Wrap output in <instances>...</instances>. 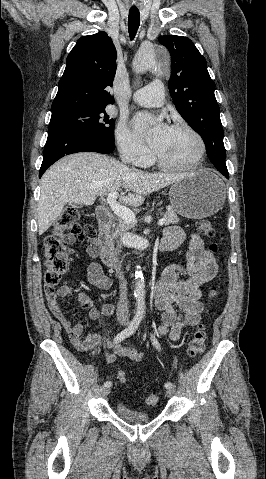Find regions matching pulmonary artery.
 Masks as SVG:
<instances>
[{
  "instance_id": "e3ab8cb5",
  "label": "pulmonary artery",
  "mask_w": 266,
  "mask_h": 479,
  "mask_svg": "<svg viewBox=\"0 0 266 479\" xmlns=\"http://www.w3.org/2000/svg\"><path fill=\"white\" fill-rule=\"evenodd\" d=\"M133 100L144 107H159L164 103V86L160 81H153L133 95Z\"/></svg>"
}]
</instances>
